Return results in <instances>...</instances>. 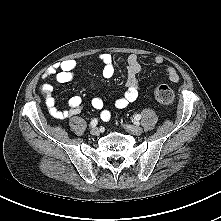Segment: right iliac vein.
Here are the masks:
<instances>
[{"label": "right iliac vein", "instance_id": "right-iliac-vein-1", "mask_svg": "<svg viewBox=\"0 0 221 221\" xmlns=\"http://www.w3.org/2000/svg\"><path fill=\"white\" fill-rule=\"evenodd\" d=\"M90 132L93 136H98L100 133L99 129L96 127L92 128Z\"/></svg>", "mask_w": 221, "mask_h": 221}]
</instances>
